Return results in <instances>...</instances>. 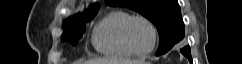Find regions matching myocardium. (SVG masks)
<instances>
[{
	"instance_id": "f54148a6",
	"label": "myocardium",
	"mask_w": 242,
	"mask_h": 64,
	"mask_svg": "<svg viewBox=\"0 0 242 64\" xmlns=\"http://www.w3.org/2000/svg\"><path fill=\"white\" fill-rule=\"evenodd\" d=\"M136 20H142V21H144L149 26V28H150V30L152 32L153 43H152V46L148 50H146V51H137L133 47V45L131 44L130 39H129V29H130V26ZM122 39H123V42H124L125 46L127 47V49L133 55H136V56H146V55L152 53L154 51V49L156 48L157 41H158V33H157V29H156L154 23L149 18H147L146 16H143V15H133V16H131L126 21V23H125V25L123 27V30H122Z\"/></svg>"
}]
</instances>
